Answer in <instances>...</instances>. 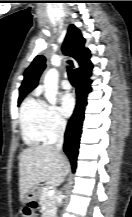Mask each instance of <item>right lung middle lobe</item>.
<instances>
[{"instance_id": "1", "label": "right lung middle lobe", "mask_w": 132, "mask_h": 217, "mask_svg": "<svg viewBox=\"0 0 132 217\" xmlns=\"http://www.w3.org/2000/svg\"><path fill=\"white\" fill-rule=\"evenodd\" d=\"M21 101H22V99H19V100H18V104H20V103H21Z\"/></svg>"}]
</instances>
